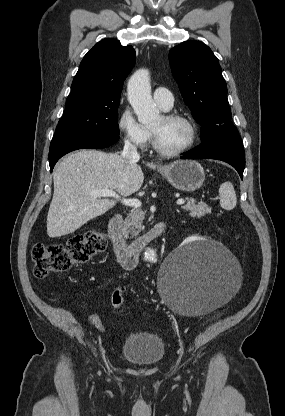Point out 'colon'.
I'll return each mask as SVG.
<instances>
[{"label":"colon","mask_w":285,"mask_h":416,"mask_svg":"<svg viewBox=\"0 0 285 416\" xmlns=\"http://www.w3.org/2000/svg\"><path fill=\"white\" fill-rule=\"evenodd\" d=\"M107 236L97 229H89L83 234L75 235L64 244L37 243L32 246L31 256L34 264L33 273L37 278H44L52 273H63L74 266L86 264L93 256L105 250ZM124 298L120 289L111 297L115 310L123 306Z\"/></svg>","instance_id":"5ec220e1"}]
</instances>
